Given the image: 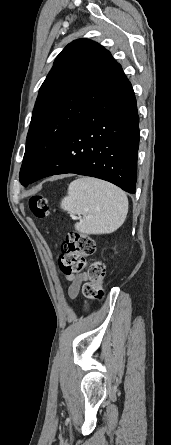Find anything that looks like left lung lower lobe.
I'll return each instance as SVG.
<instances>
[{
    "label": "left lung lower lobe",
    "mask_w": 171,
    "mask_h": 445,
    "mask_svg": "<svg viewBox=\"0 0 171 445\" xmlns=\"http://www.w3.org/2000/svg\"><path fill=\"white\" fill-rule=\"evenodd\" d=\"M138 146L139 116L127 80L73 125L49 159L23 185L51 175L75 173L135 193Z\"/></svg>",
    "instance_id": "obj_1"
}]
</instances>
